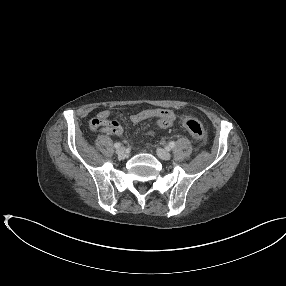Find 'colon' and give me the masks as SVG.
I'll use <instances>...</instances> for the list:
<instances>
[{"label":"colon","mask_w":286,"mask_h":286,"mask_svg":"<svg viewBox=\"0 0 286 286\" xmlns=\"http://www.w3.org/2000/svg\"><path fill=\"white\" fill-rule=\"evenodd\" d=\"M184 127L190 132L195 140L202 143L205 140V130L200 121L194 118H185L183 120Z\"/></svg>","instance_id":"1"}]
</instances>
